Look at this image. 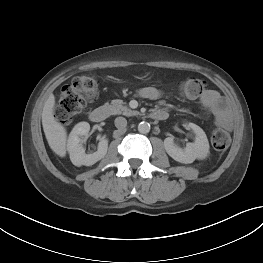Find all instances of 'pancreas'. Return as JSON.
<instances>
[{
    "instance_id": "pancreas-1",
    "label": "pancreas",
    "mask_w": 263,
    "mask_h": 263,
    "mask_svg": "<svg viewBox=\"0 0 263 263\" xmlns=\"http://www.w3.org/2000/svg\"><path fill=\"white\" fill-rule=\"evenodd\" d=\"M123 104L124 102L122 100L116 99V100H112L111 104L106 103L105 106H107V108L109 109L112 115L123 114L126 116H132L137 114L136 111H132L127 106H124Z\"/></svg>"
}]
</instances>
